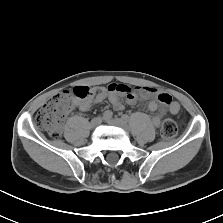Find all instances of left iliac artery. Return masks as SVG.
<instances>
[{
    "label": "left iliac artery",
    "mask_w": 223,
    "mask_h": 223,
    "mask_svg": "<svg viewBox=\"0 0 223 223\" xmlns=\"http://www.w3.org/2000/svg\"><path fill=\"white\" fill-rule=\"evenodd\" d=\"M122 119H124L126 122L129 120V118H128L127 115H123V116H122Z\"/></svg>",
    "instance_id": "44dca946"
}]
</instances>
